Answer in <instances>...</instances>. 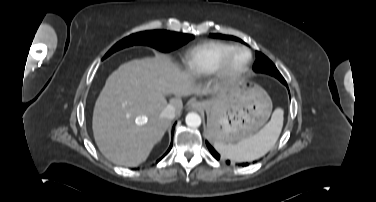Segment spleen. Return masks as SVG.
<instances>
[{
	"label": "spleen",
	"mask_w": 376,
	"mask_h": 202,
	"mask_svg": "<svg viewBox=\"0 0 376 202\" xmlns=\"http://www.w3.org/2000/svg\"><path fill=\"white\" fill-rule=\"evenodd\" d=\"M283 126V110L277 108L271 120L255 135L238 142H215L214 148L223 156L236 162L253 161L265 155L275 145Z\"/></svg>",
	"instance_id": "1"
}]
</instances>
